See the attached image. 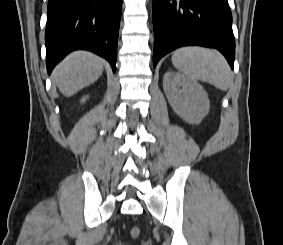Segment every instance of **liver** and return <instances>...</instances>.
<instances>
[{"label":"liver","instance_id":"6515ba94","mask_svg":"<svg viewBox=\"0 0 283 245\" xmlns=\"http://www.w3.org/2000/svg\"><path fill=\"white\" fill-rule=\"evenodd\" d=\"M105 61L87 51H76L59 63L52 79L59 91L70 97L94 83L102 75Z\"/></svg>","mask_w":283,"mask_h":245}]
</instances>
